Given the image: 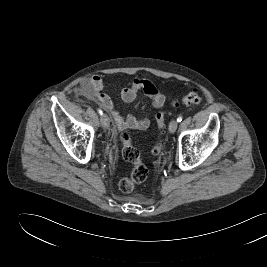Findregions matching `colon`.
Wrapping results in <instances>:
<instances>
[{
  "label": "colon",
  "mask_w": 267,
  "mask_h": 267,
  "mask_svg": "<svg viewBox=\"0 0 267 267\" xmlns=\"http://www.w3.org/2000/svg\"><path fill=\"white\" fill-rule=\"evenodd\" d=\"M202 102L201 96L196 92H190L183 96L181 99L174 100L172 102L173 107H177L181 104L187 106H197ZM166 112H158L156 114V122L160 134L163 133L165 128ZM122 144V156L123 158L132 164V168L121 178L119 182V188L122 192H131L136 185L144 182L148 177V169L141 161L139 151L131 143V132L125 130L120 136ZM162 150V141L152 148L153 155H158Z\"/></svg>",
  "instance_id": "1"
}]
</instances>
